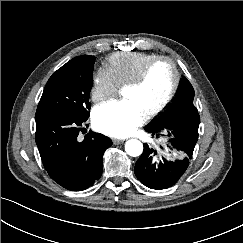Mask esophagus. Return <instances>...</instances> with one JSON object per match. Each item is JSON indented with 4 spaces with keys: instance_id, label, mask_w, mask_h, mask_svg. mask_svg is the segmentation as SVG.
<instances>
[{
    "instance_id": "1",
    "label": "esophagus",
    "mask_w": 243,
    "mask_h": 243,
    "mask_svg": "<svg viewBox=\"0 0 243 243\" xmlns=\"http://www.w3.org/2000/svg\"><path fill=\"white\" fill-rule=\"evenodd\" d=\"M112 142H113V144H114V145H118V144L123 143V142H124V140L114 138V139H112Z\"/></svg>"
}]
</instances>
